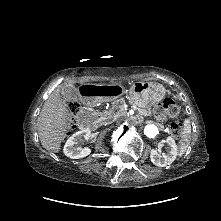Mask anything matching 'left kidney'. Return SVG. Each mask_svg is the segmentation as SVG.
I'll use <instances>...</instances> for the list:
<instances>
[{
  "mask_svg": "<svg viewBox=\"0 0 221 221\" xmlns=\"http://www.w3.org/2000/svg\"><path fill=\"white\" fill-rule=\"evenodd\" d=\"M165 142L168 145L167 153L159 154L155 149L151 150L150 153L152 163L159 167H166L172 164L178 154V148L173 138L167 137Z\"/></svg>",
  "mask_w": 221,
  "mask_h": 221,
  "instance_id": "5707ae66",
  "label": "left kidney"
}]
</instances>
